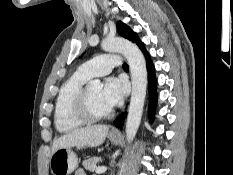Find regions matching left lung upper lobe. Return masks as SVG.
Returning a JSON list of instances; mask_svg holds the SVG:
<instances>
[{
	"label": "left lung upper lobe",
	"instance_id": "left-lung-upper-lobe-1",
	"mask_svg": "<svg viewBox=\"0 0 233 175\" xmlns=\"http://www.w3.org/2000/svg\"><path fill=\"white\" fill-rule=\"evenodd\" d=\"M117 30L121 36L136 43L139 47L143 45L137 34L133 32L130 27H128L126 24L122 23L121 21L117 23Z\"/></svg>",
	"mask_w": 233,
	"mask_h": 175
}]
</instances>
